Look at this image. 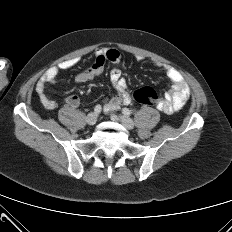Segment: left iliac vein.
<instances>
[{
    "label": "left iliac vein",
    "instance_id": "4c4485c4",
    "mask_svg": "<svg viewBox=\"0 0 232 232\" xmlns=\"http://www.w3.org/2000/svg\"><path fill=\"white\" fill-rule=\"evenodd\" d=\"M113 118H119L121 123L129 130L134 128V122L131 118L126 115H120L119 117L113 116Z\"/></svg>",
    "mask_w": 232,
    "mask_h": 232
}]
</instances>
